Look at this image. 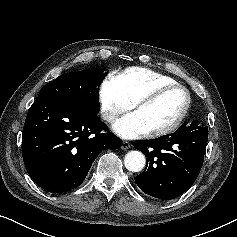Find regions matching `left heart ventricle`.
<instances>
[{
    "label": "left heart ventricle",
    "instance_id": "left-heart-ventricle-1",
    "mask_svg": "<svg viewBox=\"0 0 237 237\" xmlns=\"http://www.w3.org/2000/svg\"><path fill=\"white\" fill-rule=\"evenodd\" d=\"M185 101L184 92L173 89L153 102L136 109L135 112L140 116L148 131H152L171 124L183 109Z\"/></svg>",
    "mask_w": 237,
    "mask_h": 237
}]
</instances>
